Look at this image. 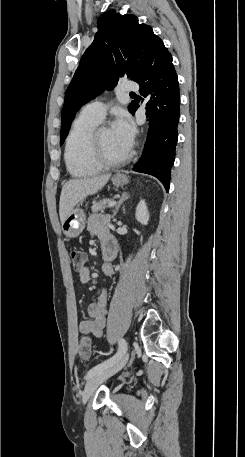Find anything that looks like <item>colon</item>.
I'll return each mask as SVG.
<instances>
[{
  "label": "colon",
  "mask_w": 245,
  "mask_h": 457,
  "mask_svg": "<svg viewBox=\"0 0 245 457\" xmlns=\"http://www.w3.org/2000/svg\"><path fill=\"white\" fill-rule=\"evenodd\" d=\"M70 261L72 263L73 268L76 271H80L85 264L86 261V255L83 251L72 248L68 252ZM77 353L80 356L81 359L87 360L91 356V340L87 336H81L79 337L77 341Z\"/></svg>",
  "instance_id": "colon-1"
}]
</instances>
